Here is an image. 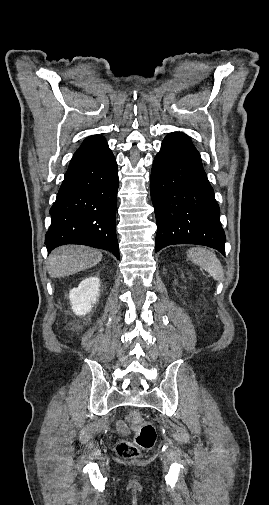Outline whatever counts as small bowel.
Masks as SVG:
<instances>
[{
	"mask_svg": "<svg viewBox=\"0 0 269 505\" xmlns=\"http://www.w3.org/2000/svg\"><path fill=\"white\" fill-rule=\"evenodd\" d=\"M118 430H119L121 433H124V434H125V433H127V432H128V427H127L126 423H125V422H123V421H122V422H119V423H118Z\"/></svg>",
	"mask_w": 269,
	"mask_h": 505,
	"instance_id": "1",
	"label": "small bowel"
}]
</instances>
